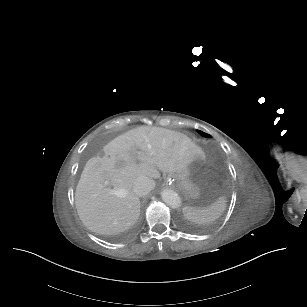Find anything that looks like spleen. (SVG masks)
<instances>
[{
    "label": "spleen",
    "mask_w": 307,
    "mask_h": 307,
    "mask_svg": "<svg viewBox=\"0 0 307 307\" xmlns=\"http://www.w3.org/2000/svg\"><path fill=\"white\" fill-rule=\"evenodd\" d=\"M226 207V199L220 197L217 201L209 207L196 210L193 207H187L183 211L185 219L192 223H207L219 218Z\"/></svg>",
    "instance_id": "1"
}]
</instances>
